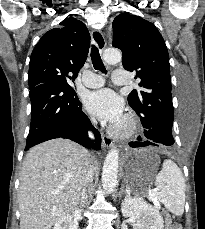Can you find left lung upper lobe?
<instances>
[{
  "label": "left lung upper lobe",
  "instance_id": "1",
  "mask_svg": "<svg viewBox=\"0 0 205 229\" xmlns=\"http://www.w3.org/2000/svg\"><path fill=\"white\" fill-rule=\"evenodd\" d=\"M113 47L122 51L123 67L136 72L141 91L133 90L128 103L141 119L144 132L161 127L172 136L173 104L169 55L162 35L154 24L129 13L118 15L112 24Z\"/></svg>",
  "mask_w": 205,
  "mask_h": 229
}]
</instances>
